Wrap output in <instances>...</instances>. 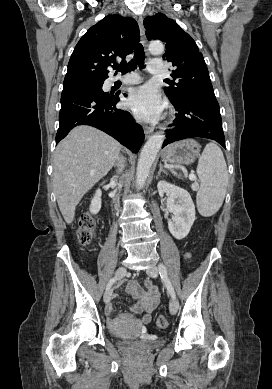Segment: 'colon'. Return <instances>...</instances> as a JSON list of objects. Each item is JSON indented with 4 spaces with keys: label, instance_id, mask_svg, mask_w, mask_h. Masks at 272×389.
<instances>
[{
    "label": "colon",
    "instance_id": "colon-1",
    "mask_svg": "<svg viewBox=\"0 0 272 389\" xmlns=\"http://www.w3.org/2000/svg\"><path fill=\"white\" fill-rule=\"evenodd\" d=\"M95 228L96 223L93 216L89 213L83 214L76 230V239L81 246H88L92 242L95 236ZM156 324L159 328L165 329L168 326L167 318L160 315L156 320Z\"/></svg>",
    "mask_w": 272,
    "mask_h": 389
}]
</instances>
